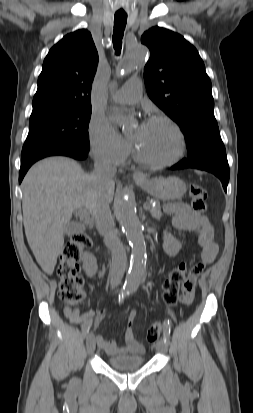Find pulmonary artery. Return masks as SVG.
Listing matches in <instances>:
<instances>
[{"mask_svg":"<svg viewBox=\"0 0 253 413\" xmlns=\"http://www.w3.org/2000/svg\"><path fill=\"white\" fill-rule=\"evenodd\" d=\"M142 95V85L139 80H131L112 95V100L120 104H135Z\"/></svg>","mask_w":253,"mask_h":413,"instance_id":"pulmonary-artery-1","label":"pulmonary artery"}]
</instances>
